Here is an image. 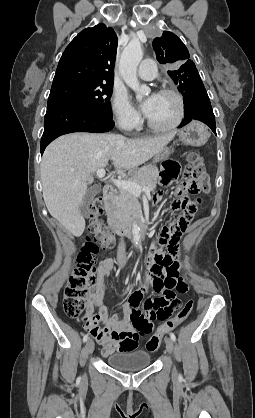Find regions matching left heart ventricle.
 I'll return each mask as SVG.
<instances>
[{"label":"left heart ventricle","instance_id":"b2bd125f","mask_svg":"<svg viewBox=\"0 0 255 418\" xmlns=\"http://www.w3.org/2000/svg\"><path fill=\"white\" fill-rule=\"evenodd\" d=\"M178 114L177 100L167 94H158L148 118L159 126H166L172 123Z\"/></svg>","mask_w":255,"mask_h":418}]
</instances>
